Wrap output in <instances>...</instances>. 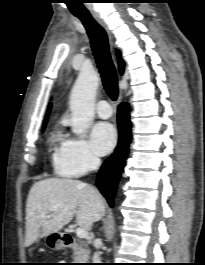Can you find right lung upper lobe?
<instances>
[{"mask_svg":"<svg viewBox=\"0 0 205 265\" xmlns=\"http://www.w3.org/2000/svg\"><path fill=\"white\" fill-rule=\"evenodd\" d=\"M117 56H118V59H119V70H120V73H123V70H124V62L121 59V55H120V52L119 51H117ZM50 109H51V105H49V108H48V111H47V115H46V118H45V121H44V126L47 123L48 116H49V113H50Z\"/></svg>","mask_w":205,"mask_h":265,"instance_id":"cb5924a9","label":"right lung upper lobe"}]
</instances>
